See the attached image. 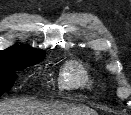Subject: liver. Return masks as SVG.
I'll list each match as a JSON object with an SVG mask.
<instances>
[{"label":"liver","mask_w":131,"mask_h":115,"mask_svg":"<svg viewBox=\"0 0 131 115\" xmlns=\"http://www.w3.org/2000/svg\"><path fill=\"white\" fill-rule=\"evenodd\" d=\"M0 115H97L88 107L66 104H41L29 100H10L0 103Z\"/></svg>","instance_id":"1"}]
</instances>
